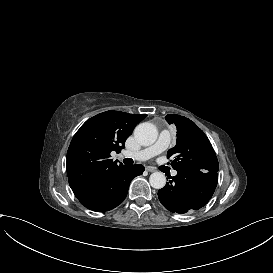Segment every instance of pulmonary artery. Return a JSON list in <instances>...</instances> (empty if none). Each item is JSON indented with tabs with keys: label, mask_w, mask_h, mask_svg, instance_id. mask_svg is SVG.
I'll use <instances>...</instances> for the list:
<instances>
[{
	"label": "pulmonary artery",
	"mask_w": 273,
	"mask_h": 273,
	"mask_svg": "<svg viewBox=\"0 0 273 273\" xmlns=\"http://www.w3.org/2000/svg\"><path fill=\"white\" fill-rule=\"evenodd\" d=\"M171 139H172V136L170 133L168 132L163 133L157 144L153 145L149 149H143V150L137 151L135 154L136 159L139 161H143V160H149L156 157L157 155L163 153L164 151L168 149ZM171 175L176 176L177 171L172 170Z\"/></svg>",
	"instance_id": "obj_1"
}]
</instances>
